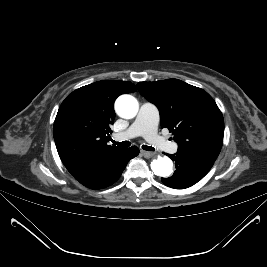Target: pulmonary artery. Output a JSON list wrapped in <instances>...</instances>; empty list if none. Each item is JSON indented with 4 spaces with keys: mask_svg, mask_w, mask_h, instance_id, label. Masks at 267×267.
I'll return each instance as SVG.
<instances>
[{
    "mask_svg": "<svg viewBox=\"0 0 267 267\" xmlns=\"http://www.w3.org/2000/svg\"><path fill=\"white\" fill-rule=\"evenodd\" d=\"M160 115L157 107L149 102L141 105L138 115L130 125L123 131L114 134V139L123 141L137 136H143L152 146L157 149L174 153L178 149V145L174 142H169L157 133Z\"/></svg>",
    "mask_w": 267,
    "mask_h": 267,
    "instance_id": "pulmonary-artery-1",
    "label": "pulmonary artery"
}]
</instances>
